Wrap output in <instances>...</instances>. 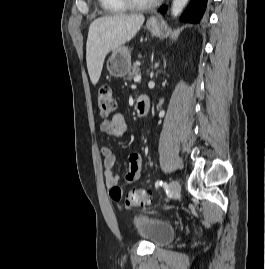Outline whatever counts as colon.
<instances>
[{
    "label": "colon",
    "instance_id": "5ec220e1",
    "mask_svg": "<svg viewBox=\"0 0 265 269\" xmlns=\"http://www.w3.org/2000/svg\"><path fill=\"white\" fill-rule=\"evenodd\" d=\"M98 110L102 117L112 115L116 110V101L110 85L101 86L97 95ZM110 195L116 200L124 199L128 205L144 207L151 201V195L141 189H134L124 193L118 186L110 188Z\"/></svg>",
    "mask_w": 265,
    "mask_h": 269
}]
</instances>
